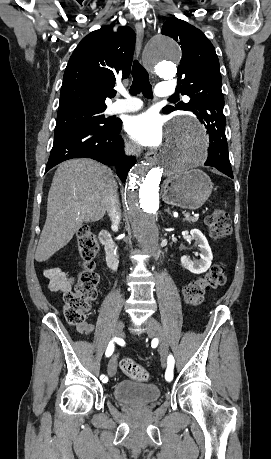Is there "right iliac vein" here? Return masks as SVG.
<instances>
[{
  "label": "right iliac vein",
  "mask_w": 271,
  "mask_h": 459,
  "mask_svg": "<svg viewBox=\"0 0 271 459\" xmlns=\"http://www.w3.org/2000/svg\"><path fill=\"white\" fill-rule=\"evenodd\" d=\"M123 327H124L123 322L118 320L113 327L114 336L120 337L122 335ZM116 370H117V358L113 356L108 364V375L110 377L114 376L116 374Z\"/></svg>",
  "instance_id": "1"
}]
</instances>
